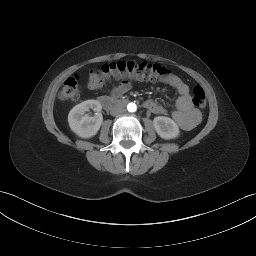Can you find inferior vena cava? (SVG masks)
I'll return each instance as SVG.
<instances>
[{
  "instance_id": "602c4592",
  "label": "inferior vena cava",
  "mask_w": 256,
  "mask_h": 256,
  "mask_svg": "<svg viewBox=\"0 0 256 256\" xmlns=\"http://www.w3.org/2000/svg\"><path fill=\"white\" fill-rule=\"evenodd\" d=\"M123 113H124V109L121 108V107H115V108H113V109L111 110V115H112V116H119V115H121V114H123Z\"/></svg>"
}]
</instances>
